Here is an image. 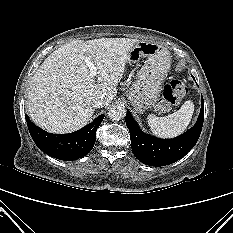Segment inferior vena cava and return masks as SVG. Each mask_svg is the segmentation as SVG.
<instances>
[{"mask_svg":"<svg viewBox=\"0 0 233 233\" xmlns=\"http://www.w3.org/2000/svg\"><path fill=\"white\" fill-rule=\"evenodd\" d=\"M105 105V100L102 97H97L93 100V107L100 108Z\"/></svg>","mask_w":233,"mask_h":233,"instance_id":"inferior-vena-cava-1","label":"inferior vena cava"}]
</instances>
